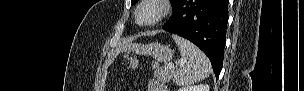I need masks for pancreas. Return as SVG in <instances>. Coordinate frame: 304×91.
I'll use <instances>...</instances> for the list:
<instances>
[{
  "label": "pancreas",
  "instance_id": "pancreas-1",
  "mask_svg": "<svg viewBox=\"0 0 304 91\" xmlns=\"http://www.w3.org/2000/svg\"><path fill=\"white\" fill-rule=\"evenodd\" d=\"M173 71L168 66L156 67L154 76L161 82L167 83L172 78Z\"/></svg>",
  "mask_w": 304,
  "mask_h": 91
}]
</instances>
